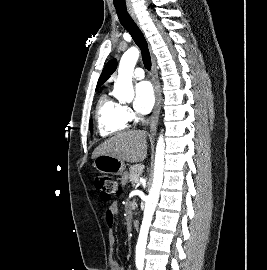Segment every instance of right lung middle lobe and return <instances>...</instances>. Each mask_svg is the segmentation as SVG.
<instances>
[{"label": "right lung middle lobe", "instance_id": "right-lung-middle-lobe-1", "mask_svg": "<svg viewBox=\"0 0 267 270\" xmlns=\"http://www.w3.org/2000/svg\"><path fill=\"white\" fill-rule=\"evenodd\" d=\"M98 88H96V90H97ZM90 127L92 128V121H90Z\"/></svg>", "mask_w": 267, "mask_h": 270}]
</instances>
